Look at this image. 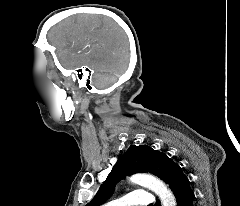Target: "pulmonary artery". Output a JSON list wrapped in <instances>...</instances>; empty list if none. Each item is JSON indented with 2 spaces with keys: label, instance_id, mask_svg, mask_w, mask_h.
<instances>
[{
  "label": "pulmonary artery",
  "instance_id": "1",
  "mask_svg": "<svg viewBox=\"0 0 240 206\" xmlns=\"http://www.w3.org/2000/svg\"><path fill=\"white\" fill-rule=\"evenodd\" d=\"M154 202V196L144 190H135L121 199L113 200L104 206H148Z\"/></svg>",
  "mask_w": 240,
  "mask_h": 206
}]
</instances>
